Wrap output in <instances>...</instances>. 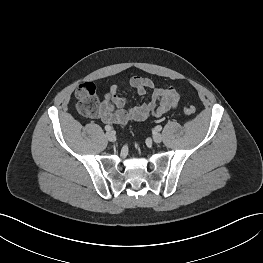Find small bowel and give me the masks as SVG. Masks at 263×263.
Instances as JSON below:
<instances>
[{
    "label": "small bowel",
    "instance_id": "1",
    "mask_svg": "<svg viewBox=\"0 0 263 263\" xmlns=\"http://www.w3.org/2000/svg\"><path fill=\"white\" fill-rule=\"evenodd\" d=\"M128 85L138 95H145L151 91V100L130 106L128 99L122 94L121 86L115 84L109 88L104 99L89 116L108 124L125 125L129 122L144 121L150 116L159 118L175 109L180 100V94L174 87H157L152 80L145 77L133 76L129 79Z\"/></svg>",
    "mask_w": 263,
    "mask_h": 263
}]
</instances>
